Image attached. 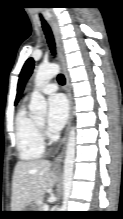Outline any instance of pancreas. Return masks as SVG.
Segmentation results:
<instances>
[{
  "instance_id": "pancreas-1",
  "label": "pancreas",
  "mask_w": 123,
  "mask_h": 219,
  "mask_svg": "<svg viewBox=\"0 0 123 219\" xmlns=\"http://www.w3.org/2000/svg\"><path fill=\"white\" fill-rule=\"evenodd\" d=\"M34 206H35L37 211H44L43 210V204L41 203V199L35 200Z\"/></svg>"
}]
</instances>
